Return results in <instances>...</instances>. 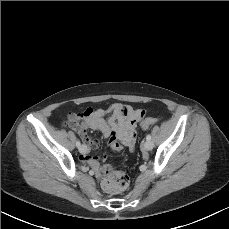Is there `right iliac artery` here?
I'll return each instance as SVG.
<instances>
[{"label": "right iliac artery", "instance_id": "obj_1", "mask_svg": "<svg viewBox=\"0 0 229 229\" xmlns=\"http://www.w3.org/2000/svg\"><path fill=\"white\" fill-rule=\"evenodd\" d=\"M76 146L79 148L81 146V143L79 140L76 141Z\"/></svg>", "mask_w": 229, "mask_h": 229}]
</instances>
